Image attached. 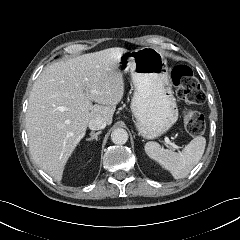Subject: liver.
<instances>
[{
    "instance_id": "obj_1",
    "label": "liver",
    "mask_w": 240,
    "mask_h": 240,
    "mask_svg": "<svg viewBox=\"0 0 240 240\" xmlns=\"http://www.w3.org/2000/svg\"><path fill=\"white\" fill-rule=\"evenodd\" d=\"M125 51L114 47L55 62L34 82L25 118L29 149L35 163L56 181L89 121L101 116L112 123L124 95L118 63Z\"/></svg>"
}]
</instances>
